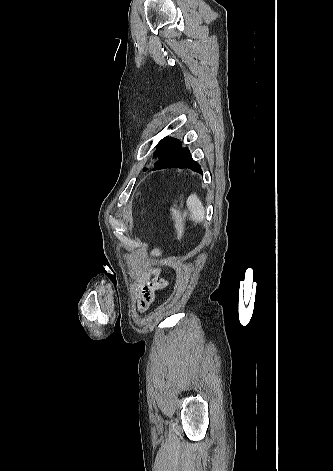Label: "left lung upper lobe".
<instances>
[{
  "instance_id": "5c2ea615",
  "label": "left lung upper lobe",
  "mask_w": 333,
  "mask_h": 471,
  "mask_svg": "<svg viewBox=\"0 0 333 471\" xmlns=\"http://www.w3.org/2000/svg\"><path fill=\"white\" fill-rule=\"evenodd\" d=\"M183 149L182 142L179 139L165 137L157 144L155 156H159V162L155 164L154 170L169 168L170 159ZM146 171V168L144 169Z\"/></svg>"
}]
</instances>
